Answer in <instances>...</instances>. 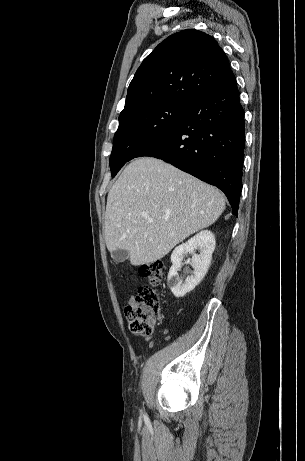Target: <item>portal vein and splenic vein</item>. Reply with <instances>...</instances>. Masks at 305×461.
I'll use <instances>...</instances> for the list:
<instances>
[{
    "mask_svg": "<svg viewBox=\"0 0 305 461\" xmlns=\"http://www.w3.org/2000/svg\"><path fill=\"white\" fill-rule=\"evenodd\" d=\"M143 217H144L145 219H147V220H150V219H149V216H148L147 214H144Z\"/></svg>",
    "mask_w": 305,
    "mask_h": 461,
    "instance_id": "1",
    "label": "portal vein and splenic vein"
}]
</instances>
